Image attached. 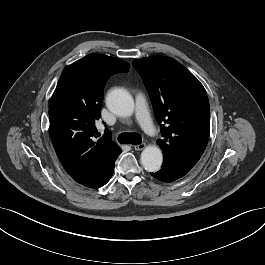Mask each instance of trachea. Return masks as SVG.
I'll return each mask as SVG.
<instances>
[{"mask_svg": "<svg viewBox=\"0 0 265 265\" xmlns=\"http://www.w3.org/2000/svg\"><path fill=\"white\" fill-rule=\"evenodd\" d=\"M118 141L122 144L139 145L141 144L142 139L137 133H122L118 136Z\"/></svg>", "mask_w": 265, "mask_h": 265, "instance_id": "obj_1", "label": "trachea"}]
</instances>
